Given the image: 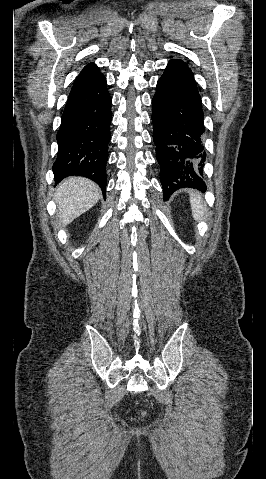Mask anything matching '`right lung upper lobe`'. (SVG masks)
I'll list each match as a JSON object with an SVG mask.
<instances>
[{"label":"right lung upper lobe","instance_id":"right-lung-upper-lobe-1","mask_svg":"<svg viewBox=\"0 0 266 479\" xmlns=\"http://www.w3.org/2000/svg\"><path fill=\"white\" fill-rule=\"evenodd\" d=\"M100 74L99 68L94 64L90 63L83 68L81 73L77 76L76 79L88 78Z\"/></svg>","mask_w":266,"mask_h":479}]
</instances>
